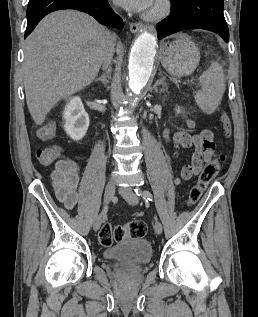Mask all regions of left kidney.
<instances>
[{"label":"left kidney","instance_id":"1","mask_svg":"<svg viewBox=\"0 0 258 317\" xmlns=\"http://www.w3.org/2000/svg\"><path fill=\"white\" fill-rule=\"evenodd\" d=\"M176 112H181L180 108H175Z\"/></svg>","mask_w":258,"mask_h":317}]
</instances>
